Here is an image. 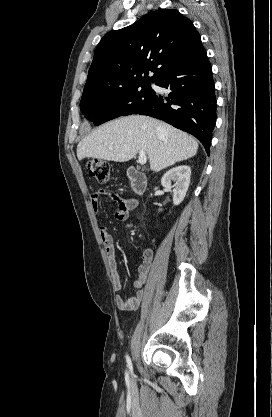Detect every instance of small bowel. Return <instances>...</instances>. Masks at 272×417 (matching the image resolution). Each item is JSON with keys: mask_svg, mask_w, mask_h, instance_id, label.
<instances>
[{"mask_svg": "<svg viewBox=\"0 0 272 417\" xmlns=\"http://www.w3.org/2000/svg\"><path fill=\"white\" fill-rule=\"evenodd\" d=\"M106 195L111 198L115 204V218L117 220H125L128 217V214L131 210L137 207L138 202L135 199H127L121 197L118 193L114 191H109L105 189H99L95 191L91 197L90 202L95 212H99V202L100 196ZM101 239L104 246V250L107 255L110 271H111V283L113 290L115 292H120L123 289L121 282L120 272L118 269V263L116 260V249L112 235L105 228H101ZM140 265L138 268V277L133 282V285L136 289L135 295L132 297H124L122 295H116L115 303L120 310L131 311L138 308L143 300L145 284L147 281V276L150 271L153 259V253L150 249H146L139 256Z\"/></svg>", "mask_w": 272, "mask_h": 417, "instance_id": "small-bowel-1", "label": "small bowel"}]
</instances>
